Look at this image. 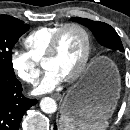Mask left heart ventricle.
Wrapping results in <instances>:
<instances>
[{
	"instance_id": "left-heart-ventricle-1",
	"label": "left heart ventricle",
	"mask_w": 130,
	"mask_h": 130,
	"mask_svg": "<svg viewBox=\"0 0 130 130\" xmlns=\"http://www.w3.org/2000/svg\"><path fill=\"white\" fill-rule=\"evenodd\" d=\"M85 48L83 35L76 29H67L61 36L57 54L43 63L46 70L57 72L62 79L79 66Z\"/></svg>"
}]
</instances>
